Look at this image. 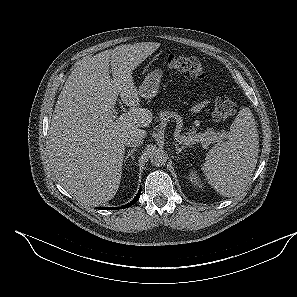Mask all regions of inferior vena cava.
<instances>
[{
	"mask_svg": "<svg viewBox=\"0 0 297 297\" xmlns=\"http://www.w3.org/2000/svg\"><path fill=\"white\" fill-rule=\"evenodd\" d=\"M144 135L142 132H132L125 137L124 144L128 147H137L143 144Z\"/></svg>",
	"mask_w": 297,
	"mask_h": 297,
	"instance_id": "obj_1",
	"label": "inferior vena cava"
}]
</instances>
